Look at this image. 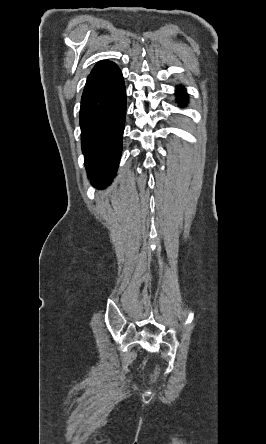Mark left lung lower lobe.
Segmentation results:
<instances>
[{
	"instance_id": "0a47b994",
	"label": "left lung lower lobe",
	"mask_w": 266,
	"mask_h": 444,
	"mask_svg": "<svg viewBox=\"0 0 266 444\" xmlns=\"http://www.w3.org/2000/svg\"><path fill=\"white\" fill-rule=\"evenodd\" d=\"M176 95H177V98H178V102L180 104H183V103L187 102V94L185 93V89H183L181 87L178 88L176 90Z\"/></svg>"
}]
</instances>
